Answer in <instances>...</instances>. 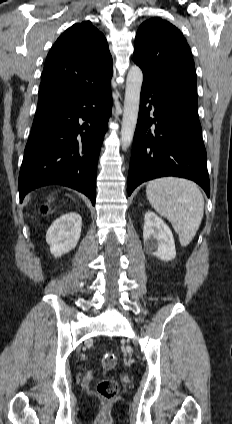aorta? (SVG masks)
<instances>
[{"label": "aorta", "mask_w": 232, "mask_h": 424, "mask_svg": "<svg viewBox=\"0 0 232 424\" xmlns=\"http://www.w3.org/2000/svg\"><path fill=\"white\" fill-rule=\"evenodd\" d=\"M143 82V74L141 69L134 65L129 69L124 100V111L121 127V145L122 149L126 150L133 140L139 105L140 91Z\"/></svg>", "instance_id": "obj_1"}]
</instances>
